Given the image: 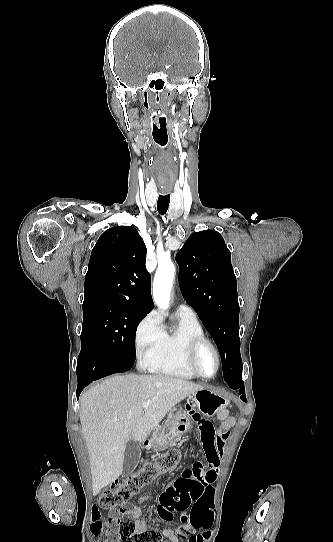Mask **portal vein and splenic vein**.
<instances>
[{"instance_id":"1","label":"portal vein and splenic vein","mask_w":333,"mask_h":542,"mask_svg":"<svg viewBox=\"0 0 333 542\" xmlns=\"http://www.w3.org/2000/svg\"><path fill=\"white\" fill-rule=\"evenodd\" d=\"M150 402H144L143 404V408H145V410H147L148 406H149Z\"/></svg>"}]
</instances>
